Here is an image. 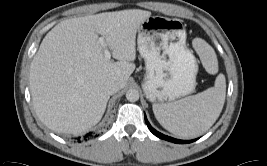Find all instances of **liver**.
<instances>
[{
  "instance_id": "liver-1",
  "label": "liver",
  "mask_w": 267,
  "mask_h": 166,
  "mask_svg": "<svg viewBox=\"0 0 267 166\" xmlns=\"http://www.w3.org/2000/svg\"><path fill=\"white\" fill-rule=\"evenodd\" d=\"M150 16L140 9L104 12L63 20L47 33L31 62L30 90L48 128L77 134L101 120L106 83L125 87L135 70L136 33ZM98 35L117 62L105 58Z\"/></svg>"
}]
</instances>
